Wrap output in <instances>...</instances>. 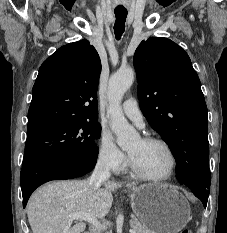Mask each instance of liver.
I'll return each instance as SVG.
<instances>
[{
    "mask_svg": "<svg viewBox=\"0 0 227 233\" xmlns=\"http://www.w3.org/2000/svg\"><path fill=\"white\" fill-rule=\"evenodd\" d=\"M102 186L94 188L88 180H73L51 182L38 189L27 204L32 233H82L86 224L79 221L73 225L68 216L81 212L104 218L112 206V192L123 184L106 180Z\"/></svg>",
    "mask_w": 227,
    "mask_h": 233,
    "instance_id": "6515ba94",
    "label": "liver"
}]
</instances>
